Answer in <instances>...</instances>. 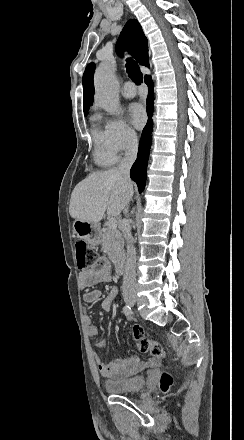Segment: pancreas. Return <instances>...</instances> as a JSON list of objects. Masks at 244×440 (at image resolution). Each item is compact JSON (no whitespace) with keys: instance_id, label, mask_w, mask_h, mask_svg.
I'll return each instance as SVG.
<instances>
[{"instance_id":"cf45deb5","label":"pancreas","mask_w":244,"mask_h":440,"mask_svg":"<svg viewBox=\"0 0 244 440\" xmlns=\"http://www.w3.org/2000/svg\"><path fill=\"white\" fill-rule=\"evenodd\" d=\"M99 242L102 244L104 254H108L111 262H119L124 256L122 234L119 230H106L100 232Z\"/></svg>"}]
</instances>
